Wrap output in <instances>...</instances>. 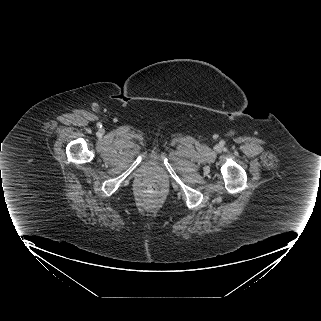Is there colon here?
Returning a JSON list of instances; mask_svg holds the SVG:
<instances>
[{"label":"colon","mask_w":321,"mask_h":321,"mask_svg":"<svg viewBox=\"0 0 321 321\" xmlns=\"http://www.w3.org/2000/svg\"><path fill=\"white\" fill-rule=\"evenodd\" d=\"M146 191L150 196H153L157 193V187L155 184L151 183V184L147 185Z\"/></svg>","instance_id":"1"}]
</instances>
